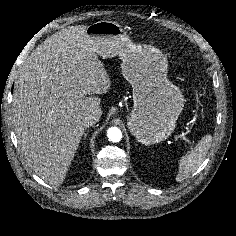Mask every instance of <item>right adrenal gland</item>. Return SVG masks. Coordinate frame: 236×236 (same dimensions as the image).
Returning a JSON list of instances; mask_svg holds the SVG:
<instances>
[{
	"label": "right adrenal gland",
	"instance_id": "right-adrenal-gland-1",
	"mask_svg": "<svg viewBox=\"0 0 236 236\" xmlns=\"http://www.w3.org/2000/svg\"><path fill=\"white\" fill-rule=\"evenodd\" d=\"M88 132H89V131H86V133L84 134V140L86 139Z\"/></svg>",
	"mask_w": 236,
	"mask_h": 236
}]
</instances>
